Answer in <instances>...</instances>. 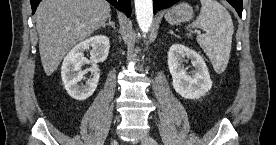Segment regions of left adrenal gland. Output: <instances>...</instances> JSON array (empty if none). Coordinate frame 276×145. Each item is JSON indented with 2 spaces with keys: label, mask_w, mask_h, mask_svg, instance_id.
Returning a JSON list of instances; mask_svg holds the SVG:
<instances>
[{
  "label": "left adrenal gland",
  "mask_w": 276,
  "mask_h": 145,
  "mask_svg": "<svg viewBox=\"0 0 276 145\" xmlns=\"http://www.w3.org/2000/svg\"><path fill=\"white\" fill-rule=\"evenodd\" d=\"M169 33H170L171 35H175L176 37H178L172 30H170Z\"/></svg>",
  "instance_id": "1"
}]
</instances>
